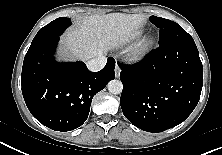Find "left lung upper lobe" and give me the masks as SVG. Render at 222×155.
I'll use <instances>...</instances> for the list:
<instances>
[{
    "instance_id": "1",
    "label": "left lung upper lobe",
    "mask_w": 222,
    "mask_h": 155,
    "mask_svg": "<svg viewBox=\"0 0 222 155\" xmlns=\"http://www.w3.org/2000/svg\"><path fill=\"white\" fill-rule=\"evenodd\" d=\"M150 21L159 28V45L183 41L194 42L190 34L184 31L180 25L171 20L151 16Z\"/></svg>"
}]
</instances>
